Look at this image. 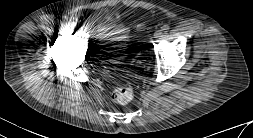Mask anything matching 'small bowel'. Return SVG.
I'll return each mask as SVG.
<instances>
[{
  "instance_id": "c3829d8e",
  "label": "small bowel",
  "mask_w": 253,
  "mask_h": 138,
  "mask_svg": "<svg viewBox=\"0 0 253 138\" xmlns=\"http://www.w3.org/2000/svg\"><path fill=\"white\" fill-rule=\"evenodd\" d=\"M115 22H116L117 24H121V19H120V16H119V15H116V16H115Z\"/></svg>"
}]
</instances>
